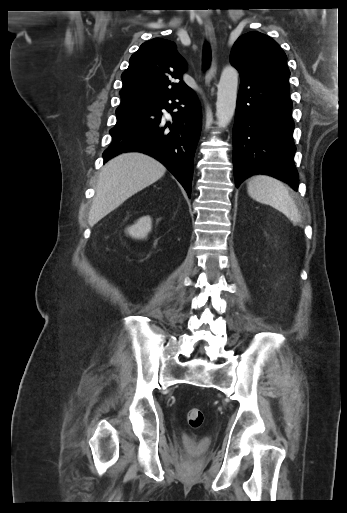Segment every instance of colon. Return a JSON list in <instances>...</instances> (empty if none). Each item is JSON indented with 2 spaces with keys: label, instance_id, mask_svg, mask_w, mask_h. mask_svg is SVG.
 Returning <instances> with one entry per match:
<instances>
[{
  "label": "colon",
  "instance_id": "colon-1",
  "mask_svg": "<svg viewBox=\"0 0 347 513\" xmlns=\"http://www.w3.org/2000/svg\"><path fill=\"white\" fill-rule=\"evenodd\" d=\"M187 421L193 428H199L204 423V414L200 409L192 408L187 412Z\"/></svg>",
  "mask_w": 347,
  "mask_h": 513
}]
</instances>
